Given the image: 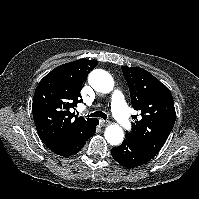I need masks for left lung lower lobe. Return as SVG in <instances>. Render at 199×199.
I'll use <instances>...</instances> for the list:
<instances>
[{
    "label": "left lung lower lobe",
    "instance_id": "1",
    "mask_svg": "<svg viewBox=\"0 0 199 199\" xmlns=\"http://www.w3.org/2000/svg\"><path fill=\"white\" fill-rule=\"evenodd\" d=\"M111 154L120 165L134 168L146 164L157 153L126 135L120 146L112 148Z\"/></svg>",
    "mask_w": 199,
    "mask_h": 199
}]
</instances>
